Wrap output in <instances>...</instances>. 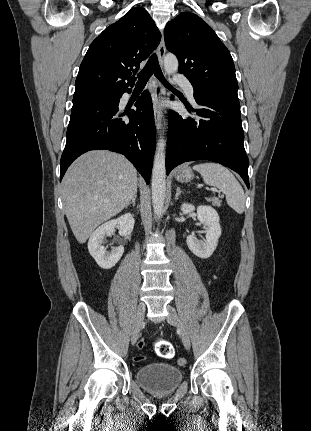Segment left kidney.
I'll return each instance as SVG.
<instances>
[{
  "mask_svg": "<svg viewBox=\"0 0 311 431\" xmlns=\"http://www.w3.org/2000/svg\"><path fill=\"white\" fill-rule=\"evenodd\" d=\"M197 212V219L203 223V229L206 231L205 239H196L195 235H187V245L195 255L207 259L212 255L218 245V239L222 233L219 223L220 217L212 206H192V204H182V214H191Z\"/></svg>",
  "mask_w": 311,
  "mask_h": 431,
  "instance_id": "obj_1",
  "label": "left kidney"
}]
</instances>
